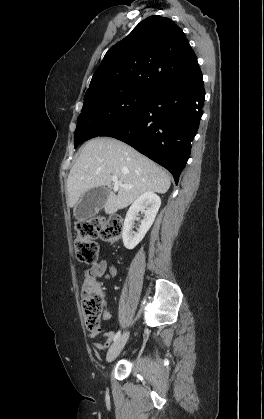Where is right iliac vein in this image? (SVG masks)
Here are the masks:
<instances>
[{
	"label": "right iliac vein",
	"instance_id": "63e3f726",
	"mask_svg": "<svg viewBox=\"0 0 264 419\" xmlns=\"http://www.w3.org/2000/svg\"><path fill=\"white\" fill-rule=\"evenodd\" d=\"M129 333L125 332L109 349L106 360L107 362H112L122 351L124 345L127 342Z\"/></svg>",
	"mask_w": 264,
	"mask_h": 419
}]
</instances>
